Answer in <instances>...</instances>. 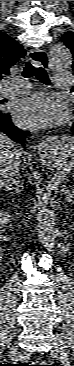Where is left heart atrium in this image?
<instances>
[{
	"mask_svg": "<svg viewBox=\"0 0 74 366\" xmlns=\"http://www.w3.org/2000/svg\"><path fill=\"white\" fill-rule=\"evenodd\" d=\"M61 102L52 95L39 93L20 100L14 108V117L21 126L46 128L63 121Z\"/></svg>",
	"mask_w": 74,
	"mask_h": 366,
	"instance_id": "obj_1",
	"label": "left heart atrium"
}]
</instances>
